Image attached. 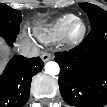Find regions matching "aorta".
Returning <instances> with one entry per match:
<instances>
[{
    "instance_id": "1",
    "label": "aorta",
    "mask_w": 107,
    "mask_h": 107,
    "mask_svg": "<svg viewBox=\"0 0 107 107\" xmlns=\"http://www.w3.org/2000/svg\"><path fill=\"white\" fill-rule=\"evenodd\" d=\"M45 72L48 74V75H51V76H55V75H58L59 72H60V67L58 65L57 62L55 61H49L45 64Z\"/></svg>"
}]
</instances>
